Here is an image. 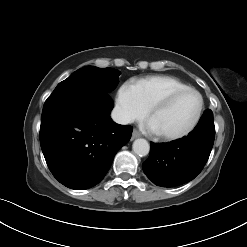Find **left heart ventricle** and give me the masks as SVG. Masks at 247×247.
I'll list each match as a JSON object with an SVG mask.
<instances>
[{"mask_svg":"<svg viewBox=\"0 0 247 247\" xmlns=\"http://www.w3.org/2000/svg\"><path fill=\"white\" fill-rule=\"evenodd\" d=\"M199 104L197 94L193 92L181 94L168 107L156 112L150 118V122L157 133L168 135L180 133L194 120Z\"/></svg>","mask_w":247,"mask_h":247,"instance_id":"left-heart-ventricle-1","label":"left heart ventricle"}]
</instances>
